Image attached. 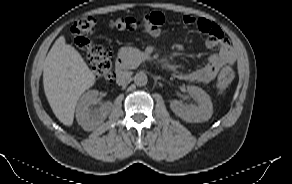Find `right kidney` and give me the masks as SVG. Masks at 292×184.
<instances>
[{
  "instance_id": "obj_1",
  "label": "right kidney",
  "mask_w": 292,
  "mask_h": 184,
  "mask_svg": "<svg viewBox=\"0 0 292 184\" xmlns=\"http://www.w3.org/2000/svg\"><path fill=\"white\" fill-rule=\"evenodd\" d=\"M99 92L89 90L80 98L76 107V119L85 131H92L107 118L111 111V102L103 104L99 109L90 110L89 106L95 103Z\"/></svg>"
}]
</instances>
